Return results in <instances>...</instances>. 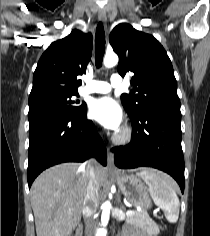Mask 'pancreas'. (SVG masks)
Wrapping results in <instances>:
<instances>
[{"label": "pancreas", "mask_w": 210, "mask_h": 236, "mask_svg": "<svg viewBox=\"0 0 210 236\" xmlns=\"http://www.w3.org/2000/svg\"><path fill=\"white\" fill-rule=\"evenodd\" d=\"M133 215L127 217V223L140 227L148 232L149 235H156L159 233L158 226L147 215L146 211H134Z\"/></svg>", "instance_id": "cf45deb5"}]
</instances>
